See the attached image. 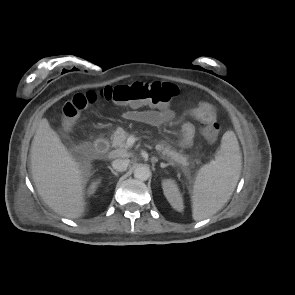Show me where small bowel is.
I'll list each match as a JSON object with an SVG mask.
<instances>
[{"mask_svg":"<svg viewBox=\"0 0 295 295\" xmlns=\"http://www.w3.org/2000/svg\"><path fill=\"white\" fill-rule=\"evenodd\" d=\"M191 114L200 122H206L211 119H216V109L212 104L208 102H200L192 109ZM174 116L175 113L170 108H161L156 110L130 109L122 113V117L126 120L145 123L153 126L165 124L171 121ZM194 137V125L191 122L184 123L181 129L179 145L184 148L190 147L194 141Z\"/></svg>","mask_w":295,"mask_h":295,"instance_id":"small-bowel-1","label":"small bowel"}]
</instances>
